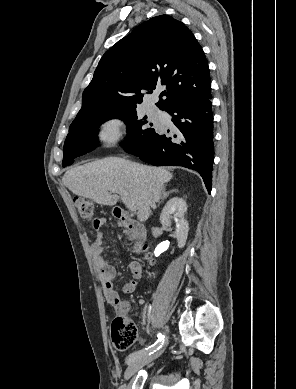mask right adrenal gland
Instances as JSON below:
<instances>
[{
    "mask_svg": "<svg viewBox=\"0 0 296 389\" xmlns=\"http://www.w3.org/2000/svg\"><path fill=\"white\" fill-rule=\"evenodd\" d=\"M173 192H175V190H171V191L165 193V194L162 196L161 201L158 202V204L154 207V209H156V208L161 204V202H163V200L166 199V198L169 196V194H170V193H173Z\"/></svg>",
    "mask_w": 296,
    "mask_h": 389,
    "instance_id": "obj_1",
    "label": "right adrenal gland"
}]
</instances>
